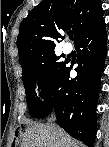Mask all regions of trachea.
Masks as SVG:
<instances>
[{
	"instance_id": "3493384b",
	"label": "trachea",
	"mask_w": 109,
	"mask_h": 147,
	"mask_svg": "<svg viewBox=\"0 0 109 147\" xmlns=\"http://www.w3.org/2000/svg\"><path fill=\"white\" fill-rule=\"evenodd\" d=\"M69 38H70V39H72V38H73V35H72V34H70V35H69Z\"/></svg>"
}]
</instances>
